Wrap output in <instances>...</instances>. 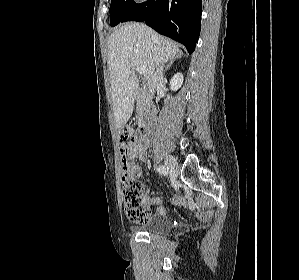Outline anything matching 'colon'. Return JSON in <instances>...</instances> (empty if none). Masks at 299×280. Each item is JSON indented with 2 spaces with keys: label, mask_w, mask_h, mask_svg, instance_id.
Returning <instances> with one entry per match:
<instances>
[{
  "label": "colon",
  "mask_w": 299,
  "mask_h": 280,
  "mask_svg": "<svg viewBox=\"0 0 299 280\" xmlns=\"http://www.w3.org/2000/svg\"><path fill=\"white\" fill-rule=\"evenodd\" d=\"M122 158V197L127 218L133 222L144 223L150 216L148 206L142 200L143 185L131 176L127 157V145L135 140L136 130L123 126L118 130Z\"/></svg>",
  "instance_id": "colon-1"
}]
</instances>
